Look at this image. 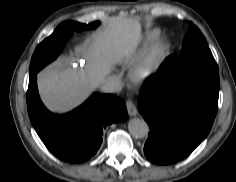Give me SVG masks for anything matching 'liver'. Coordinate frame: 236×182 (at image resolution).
Wrapping results in <instances>:
<instances>
[{
    "mask_svg": "<svg viewBox=\"0 0 236 182\" xmlns=\"http://www.w3.org/2000/svg\"><path fill=\"white\" fill-rule=\"evenodd\" d=\"M140 33L138 20L111 18L105 28L77 47L76 52L86 61L83 67L61 63L38 74L44 104L58 113L80 105L100 86L116 63L133 53Z\"/></svg>",
    "mask_w": 236,
    "mask_h": 182,
    "instance_id": "6515ba94",
    "label": "liver"
}]
</instances>
